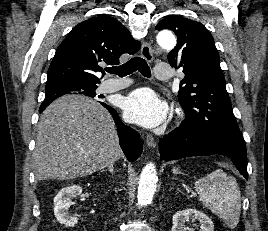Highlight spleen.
Here are the masks:
<instances>
[{
    "instance_id": "obj_1",
    "label": "spleen",
    "mask_w": 268,
    "mask_h": 231,
    "mask_svg": "<svg viewBox=\"0 0 268 231\" xmlns=\"http://www.w3.org/2000/svg\"><path fill=\"white\" fill-rule=\"evenodd\" d=\"M203 205L218 215L230 227L239 222L241 194L236 179L222 169L197 180L194 184Z\"/></svg>"
}]
</instances>
